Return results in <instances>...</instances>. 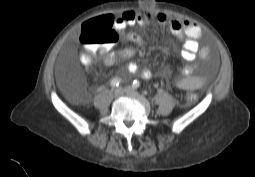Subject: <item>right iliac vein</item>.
<instances>
[{"label": "right iliac vein", "instance_id": "right-iliac-vein-1", "mask_svg": "<svg viewBox=\"0 0 255 177\" xmlns=\"http://www.w3.org/2000/svg\"><path fill=\"white\" fill-rule=\"evenodd\" d=\"M125 92V89L121 88V87H118L114 90V96L115 97H120L124 94Z\"/></svg>", "mask_w": 255, "mask_h": 177}]
</instances>
